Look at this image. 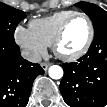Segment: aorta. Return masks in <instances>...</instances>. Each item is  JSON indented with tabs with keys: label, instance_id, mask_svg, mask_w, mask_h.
I'll use <instances>...</instances> for the list:
<instances>
[{
	"label": "aorta",
	"instance_id": "1",
	"mask_svg": "<svg viewBox=\"0 0 107 107\" xmlns=\"http://www.w3.org/2000/svg\"><path fill=\"white\" fill-rule=\"evenodd\" d=\"M48 74L52 79H61L63 77V69L58 65L49 67Z\"/></svg>",
	"mask_w": 107,
	"mask_h": 107
}]
</instances>
